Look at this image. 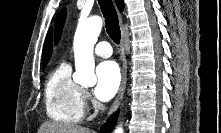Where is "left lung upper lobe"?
<instances>
[{
  "mask_svg": "<svg viewBox=\"0 0 221 133\" xmlns=\"http://www.w3.org/2000/svg\"><path fill=\"white\" fill-rule=\"evenodd\" d=\"M65 17H66V9H62L57 17H56V21H55V31H56V40L58 41L60 36H61V31L63 28V24L65 21Z\"/></svg>",
  "mask_w": 221,
  "mask_h": 133,
  "instance_id": "left-lung-upper-lobe-1",
  "label": "left lung upper lobe"
}]
</instances>
